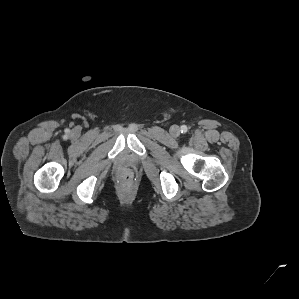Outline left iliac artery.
Wrapping results in <instances>:
<instances>
[{"label": "left iliac artery", "instance_id": "44dca946", "mask_svg": "<svg viewBox=\"0 0 299 299\" xmlns=\"http://www.w3.org/2000/svg\"><path fill=\"white\" fill-rule=\"evenodd\" d=\"M187 131H188L187 126H186V125H182V126H181V132H182V133H186Z\"/></svg>", "mask_w": 299, "mask_h": 299}]
</instances>
